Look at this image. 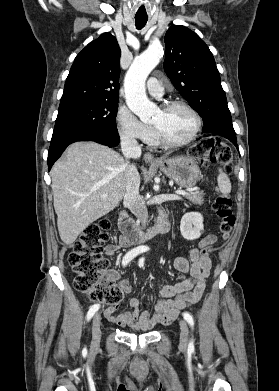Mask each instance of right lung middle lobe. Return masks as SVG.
<instances>
[{"mask_svg": "<svg viewBox=\"0 0 279 391\" xmlns=\"http://www.w3.org/2000/svg\"><path fill=\"white\" fill-rule=\"evenodd\" d=\"M118 101H92L58 110L52 138L88 128L115 126Z\"/></svg>", "mask_w": 279, "mask_h": 391, "instance_id": "1", "label": "right lung middle lobe"}]
</instances>
